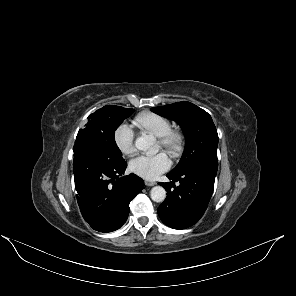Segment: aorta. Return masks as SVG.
Returning a JSON list of instances; mask_svg holds the SVG:
<instances>
[{"label": "aorta", "mask_w": 296, "mask_h": 296, "mask_svg": "<svg viewBox=\"0 0 296 296\" xmlns=\"http://www.w3.org/2000/svg\"><path fill=\"white\" fill-rule=\"evenodd\" d=\"M135 147L148 153L157 151L155 139L150 135L138 137L135 141ZM150 197L154 202H163L166 198V190L162 186H155L150 191Z\"/></svg>", "instance_id": "1"}]
</instances>
